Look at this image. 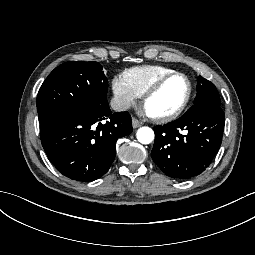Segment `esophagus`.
Here are the masks:
<instances>
[{"mask_svg":"<svg viewBox=\"0 0 255 255\" xmlns=\"http://www.w3.org/2000/svg\"><path fill=\"white\" fill-rule=\"evenodd\" d=\"M132 124H133V128H138L139 126H141L143 123L141 121H139L138 119H136L135 117L132 118Z\"/></svg>","mask_w":255,"mask_h":255,"instance_id":"esophagus-1","label":"esophagus"}]
</instances>
